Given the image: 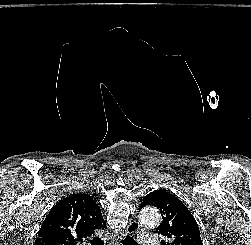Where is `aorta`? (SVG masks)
Returning a JSON list of instances; mask_svg holds the SVG:
<instances>
[{"label":"aorta","mask_w":251,"mask_h":245,"mask_svg":"<svg viewBox=\"0 0 251 245\" xmlns=\"http://www.w3.org/2000/svg\"><path fill=\"white\" fill-rule=\"evenodd\" d=\"M141 222L147 227H156L160 222L158 210L154 207L142 209L140 213Z\"/></svg>","instance_id":"762f6f07"}]
</instances>
